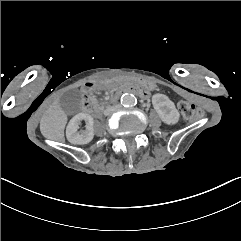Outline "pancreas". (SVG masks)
<instances>
[{
  "mask_svg": "<svg viewBox=\"0 0 241 241\" xmlns=\"http://www.w3.org/2000/svg\"><path fill=\"white\" fill-rule=\"evenodd\" d=\"M89 101L92 102V103H97V100H96V98L94 96H90L89 97ZM99 107H100L101 110H103L104 107H105L104 103H103V105H99Z\"/></svg>",
  "mask_w": 241,
  "mask_h": 241,
  "instance_id": "obj_1",
  "label": "pancreas"
}]
</instances>
